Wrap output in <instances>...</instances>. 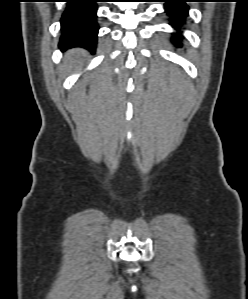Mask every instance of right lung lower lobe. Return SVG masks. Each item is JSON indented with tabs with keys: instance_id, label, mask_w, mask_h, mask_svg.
Here are the masks:
<instances>
[{
	"instance_id": "98d812e1",
	"label": "right lung lower lobe",
	"mask_w": 248,
	"mask_h": 299,
	"mask_svg": "<svg viewBox=\"0 0 248 299\" xmlns=\"http://www.w3.org/2000/svg\"><path fill=\"white\" fill-rule=\"evenodd\" d=\"M98 0H66L67 5L61 17L62 49L83 47L94 52L97 45Z\"/></svg>"
}]
</instances>
